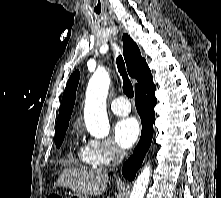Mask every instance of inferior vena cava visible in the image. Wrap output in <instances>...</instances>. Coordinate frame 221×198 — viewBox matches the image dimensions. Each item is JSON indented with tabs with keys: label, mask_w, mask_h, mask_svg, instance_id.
Instances as JSON below:
<instances>
[{
	"label": "inferior vena cava",
	"mask_w": 221,
	"mask_h": 198,
	"mask_svg": "<svg viewBox=\"0 0 221 198\" xmlns=\"http://www.w3.org/2000/svg\"><path fill=\"white\" fill-rule=\"evenodd\" d=\"M125 151L116 147L113 151V163L112 170L118 166V164L124 159Z\"/></svg>",
	"instance_id": "obj_1"
}]
</instances>
